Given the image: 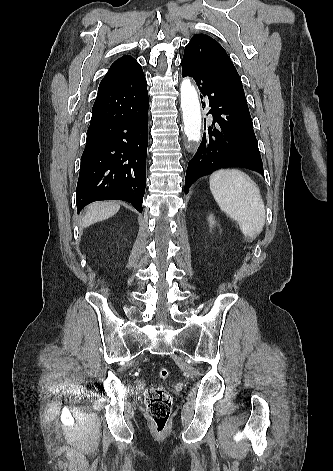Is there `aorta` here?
<instances>
[{
  "label": "aorta",
  "instance_id": "1",
  "mask_svg": "<svg viewBox=\"0 0 333 471\" xmlns=\"http://www.w3.org/2000/svg\"><path fill=\"white\" fill-rule=\"evenodd\" d=\"M184 133L188 141L198 142L201 136V112L198 94L190 80L185 78L180 86Z\"/></svg>",
  "mask_w": 333,
  "mask_h": 471
}]
</instances>
